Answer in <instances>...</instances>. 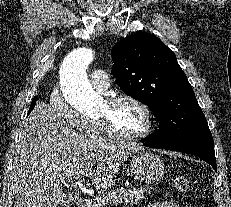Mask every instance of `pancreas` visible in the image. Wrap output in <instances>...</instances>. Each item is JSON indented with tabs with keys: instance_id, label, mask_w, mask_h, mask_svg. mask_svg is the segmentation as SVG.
<instances>
[{
	"instance_id": "1",
	"label": "pancreas",
	"mask_w": 231,
	"mask_h": 207,
	"mask_svg": "<svg viewBox=\"0 0 231 207\" xmlns=\"http://www.w3.org/2000/svg\"><path fill=\"white\" fill-rule=\"evenodd\" d=\"M148 188H137L134 190L117 188L109 192L106 196H100L92 200L91 207H108L122 203H135L144 199V193Z\"/></svg>"
}]
</instances>
